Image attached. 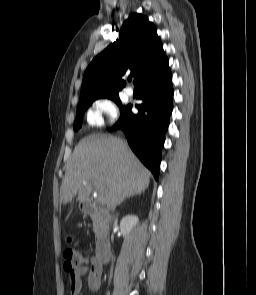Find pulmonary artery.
<instances>
[{"label": "pulmonary artery", "mask_w": 256, "mask_h": 295, "mask_svg": "<svg viewBox=\"0 0 256 295\" xmlns=\"http://www.w3.org/2000/svg\"><path fill=\"white\" fill-rule=\"evenodd\" d=\"M125 92L127 95L132 96L134 93V90L132 87H126Z\"/></svg>", "instance_id": "1"}]
</instances>
